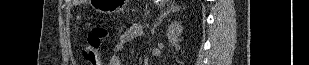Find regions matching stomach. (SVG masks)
Returning a JSON list of instances; mask_svg holds the SVG:
<instances>
[{"instance_id":"obj_1","label":"stomach","mask_w":309,"mask_h":65,"mask_svg":"<svg viewBox=\"0 0 309 65\" xmlns=\"http://www.w3.org/2000/svg\"><path fill=\"white\" fill-rule=\"evenodd\" d=\"M92 2L98 5L96 8L101 13L116 14L125 9L127 0H99Z\"/></svg>"}]
</instances>
